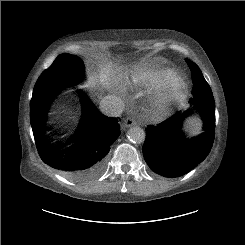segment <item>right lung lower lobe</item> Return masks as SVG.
Instances as JSON below:
<instances>
[{
    "label": "right lung lower lobe",
    "instance_id": "obj_1",
    "mask_svg": "<svg viewBox=\"0 0 245 245\" xmlns=\"http://www.w3.org/2000/svg\"><path fill=\"white\" fill-rule=\"evenodd\" d=\"M58 93H48L30 103V121L38 153L46 164L68 178L89 181L103 172L110 145L121 133L120 125L117 119L100 113L80 92L83 107L80 128L64 143L51 144L44 138L45 126L50 102Z\"/></svg>",
    "mask_w": 245,
    "mask_h": 245
}]
</instances>
